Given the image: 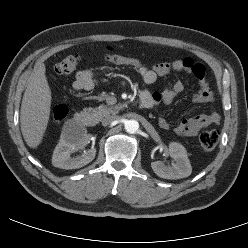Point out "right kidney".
Here are the masks:
<instances>
[{
	"label": "right kidney",
	"instance_id": "right-kidney-1",
	"mask_svg": "<svg viewBox=\"0 0 248 248\" xmlns=\"http://www.w3.org/2000/svg\"><path fill=\"white\" fill-rule=\"evenodd\" d=\"M87 131L83 128L74 131H63L60 136L53 156L52 165L62 169H77L90 163L96 155V149L86 150L80 156L71 157V152L76 148H83Z\"/></svg>",
	"mask_w": 248,
	"mask_h": 248
}]
</instances>
